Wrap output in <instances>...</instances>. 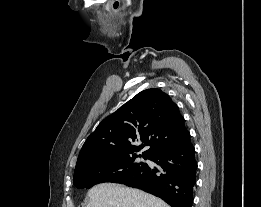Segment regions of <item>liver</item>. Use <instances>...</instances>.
Listing matches in <instances>:
<instances>
[{
    "label": "liver",
    "mask_w": 261,
    "mask_h": 207,
    "mask_svg": "<svg viewBox=\"0 0 261 207\" xmlns=\"http://www.w3.org/2000/svg\"><path fill=\"white\" fill-rule=\"evenodd\" d=\"M86 207H170L160 198L116 183H101L88 191Z\"/></svg>",
    "instance_id": "1"
}]
</instances>
